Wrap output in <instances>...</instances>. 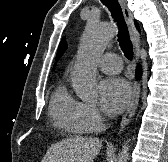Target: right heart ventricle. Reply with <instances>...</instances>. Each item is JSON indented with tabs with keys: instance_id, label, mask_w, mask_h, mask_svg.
I'll use <instances>...</instances> for the list:
<instances>
[{
	"instance_id": "right-heart-ventricle-1",
	"label": "right heart ventricle",
	"mask_w": 168,
	"mask_h": 162,
	"mask_svg": "<svg viewBox=\"0 0 168 162\" xmlns=\"http://www.w3.org/2000/svg\"><path fill=\"white\" fill-rule=\"evenodd\" d=\"M80 102L73 98L64 83H60L50 101V114L57 126L73 135L89 132L80 119Z\"/></svg>"
}]
</instances>
